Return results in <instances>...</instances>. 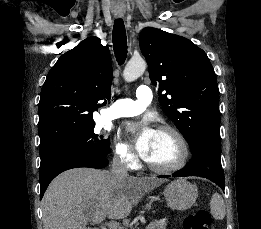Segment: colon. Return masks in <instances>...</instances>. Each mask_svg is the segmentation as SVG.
Instances as JSON below:
<instances>
[{
    "label": "colon",
    "instance_id": "1",
    "mask_svg": "<svg viewBox=\"0 0 261 229\" xmlns=\"http://www.w3.org/2000/svg\"><path fill=\"white\" fill-rule=\"evenodd\" d=\"M212 218L206 209L196 210L186 215L184 219V229H210Z\"/></svg>",
    "mask_w": 261,
    "mask_h": 229
}]
</instances>
